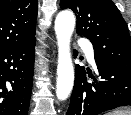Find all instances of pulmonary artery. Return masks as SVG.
Instances as JSON below:
<instances>
[{
    "label": "pulmonary artery",
    "mask_w": 131,
    "mask_h": 115,
    "mask_svg": "<svg viewBox=\"0 0 131 115\" xmlns=\"http://www.w3.org/2000/svg\"><path fill=\"white\" fill-rule=\"evenodd\" d=\"M80 45L82 46V49L84 50L88 61L91 64L95 65L94 50L92 45L89 44L86 40H81Z\"/></svg>",
    "instance_id": "1"
}]
</instances>
